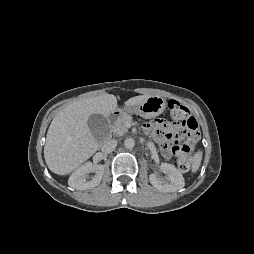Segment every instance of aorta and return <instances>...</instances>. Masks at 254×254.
Here are the masks:
<instances>
[{
    "label": "aorta",
    "instance_id": "762f6f07",
    "mask_svg": "<svg viewBox=\"0 0 254 254\" xmlns=\"http://www.w3.org/2000/svg\"><path fill=\"white\" fill-rule=\"evenodd\" d=\"M124 145L127 149H132L135 145V141L132 138H126L124 141Z\"/></svg>",
    "mask_w": 254,
    "mask_h": 254
}]
</instances>
